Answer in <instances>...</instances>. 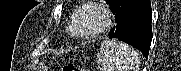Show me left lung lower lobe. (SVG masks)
Segmentation results:
<instances>
[{
    "label": "left lung lower lobe",
    "instance_id": "0a47b994",
    "mask_svg": "<svg viewBox=\"0 0 181 71\" xmlns=\"http://www.w3.org/2000/svg\"><path fill=\"white\" fill-rule=\"evenodd\" d=\"M111 10L117 26L108 36L134 46L148 58L152 40L150 0H116Z\"/></svg>",
    "mask_w": 181,
    "mask_h": 71
}]
</instances>
